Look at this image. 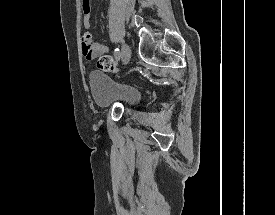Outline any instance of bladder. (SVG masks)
<instances>
[{"mask_svg":"<svg viewBox=\"0 0 275 215\" xmlns=\"http://www.w3.org/2000/svg\"><path fill=\"white\" fill-rule=\"evenodd\" d=\"M89 84L94 102L99 108L111 107L118 103L135 105L141 100V92L137 86L115 82L102 71H91Z\"/></svg>","mask_w":275,"mask_h":215,"instance_id":"1","label":"bladder"}]
</instances>
